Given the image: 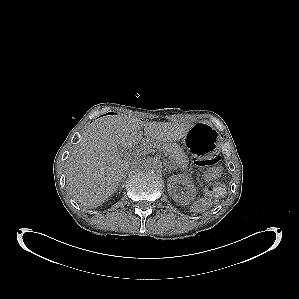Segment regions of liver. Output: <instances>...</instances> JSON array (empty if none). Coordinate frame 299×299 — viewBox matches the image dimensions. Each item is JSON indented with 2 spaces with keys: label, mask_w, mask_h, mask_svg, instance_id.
<instances>
[{
  "label": "liver",
  "mask_w": 299,
  "mask_h": 299,
  "mask_svg": "<svg viewBox=\"0 0 299 299\" xmlns=\"http://www.w3.org/2000/svg\"><path fill=\"white\" fill-rule=\"evenodd\" d=\"M144 135L161 143L183 138L186 122H143L136 117L111 115L96 120L67 160L66 185L82 206L95 208L118 188L130 159H122L118 148H132Z\"/></svg>",
  "instance_id": "liver-1"
}]
</instances>
